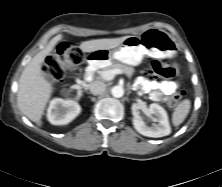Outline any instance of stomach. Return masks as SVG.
Listing matches in <instances>:
<instances>
[{"mask_svg": "<svg viewBox=\"0 0 222 187\" xmlns=\"http://www.w3.org/2000/svg\"><path fill=\"white\" fill-rule=\"evenodd\" d=\"M177 49V43L168 32L158 28H150L140 36L127 37L113 50L99 49L91 52L88 61L93 65L121 62L137 66L144 56L153 58L173 56Z\"/></svg>", "mask_w": 222, "mask_h": 187, "instance_id": "stomach-1", "label": "stomach"}]
</instances>
